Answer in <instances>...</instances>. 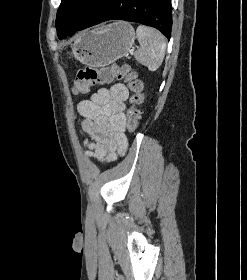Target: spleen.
<instances>
[{
    "mask_svg": "<svg viewBox=\"0 0 247 280\" xmlns=\"http://www.w3.org/2000/svg\"><path fill=\"white\" fill-rule=\"evenodd\" d=\"M136 34L140 48L135 52V59L150 71H156L165 56V37L158 30L145 25H139Z\"/></svg>",
    "mask_w": 247,
    "mask_h": 280,
    "instance_id": "3e777b00",
    "label": "spleen"
}]
</instances>
